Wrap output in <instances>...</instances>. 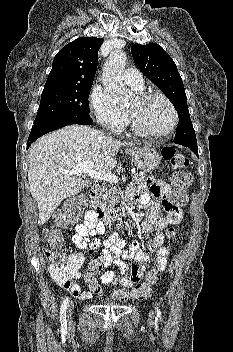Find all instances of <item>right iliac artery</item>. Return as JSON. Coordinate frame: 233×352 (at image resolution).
<instances>
[{"label": "right iliac artery", "instance_id": "82829eb1", "mask_svg": "<svg viewBox=\"0 0 233 352\" xmlns=\"http://www.w3.org/2000/svg\"><path fill=\"white\" fill-rule=\"evenodd\" d=\"M69 303V297H67L60 308V322H61V328L62 330L67 329V321H66V309Z\"/></svg>", "mask_w": 233, "mask_h": 352}]
</instances>
